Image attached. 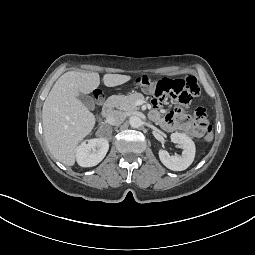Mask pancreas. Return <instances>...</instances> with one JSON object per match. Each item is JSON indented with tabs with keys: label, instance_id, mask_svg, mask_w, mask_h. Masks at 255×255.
Returning <instances> with one entry per match:
<instances>
[{
	"label": "pancreas",
	"instance_id": "obj_1",
	"mask_svg": "<svg viewBox=\"0 0 255 255\" xmlns=\"http://www.w3.org/2000/svg\"><path fill=\"white\" fill-rule=\"evenodd\" d=\"M138 99L144 100V96L141 93H131L127 96L125 95L112 96L110 98V101L112 105L117 109L125 112H132L138 109V107L136 106V101Z\"/></svg>",
	"mask_w": 255,
	"mask_h": 255
}]
</instances>
